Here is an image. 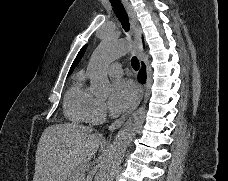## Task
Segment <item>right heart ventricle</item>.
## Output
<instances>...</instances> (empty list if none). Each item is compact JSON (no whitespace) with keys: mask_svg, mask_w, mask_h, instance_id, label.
Instances as JSON below:
<instances>
[{"mask_svg":"<svg viewBox=\"0 0 228 181\" xmlns=\"http://www.w3.org/2000/svg\"><path fill=\"white\" fill-rule=\"evenodd\" d=\"M89 68L74 74L73 84L66 95L65 111L73 121H85L89 117L90 106L94 99L92 86L86 87L88 80L93 83V73H89Z\"/></svg>","mask_w":228,"mask_h":181,"instance_id":"e07e8e85","label":"right heart ventricle"}]
</instances>
